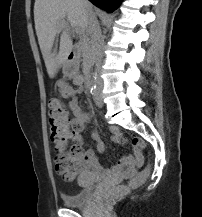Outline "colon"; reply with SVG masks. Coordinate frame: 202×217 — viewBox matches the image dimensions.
Returning <instances> with one entry per match:
<instances>
[{
  "label": "colon",
  "instance_id": "obj_1",
  "mask_svg": "<svg viewBox=\"0 0 202 217\" xmlns=\"http://www.w3.org/2000/svg\"><path fill=\"white\" fill-rule=\"evenodd\" d=\"M48 124L50 139L54 146L56 156V171L64 179L72 180L80 168L78 157L81 154V143L73 139L70 145L67 144V114L62 102L56 97L52 98L48 104ZM132 144L136 149L145 147L144 141L140 138H134ZM150 173L149 168H144L128 185H118L114 187L110 194L104 197L103 201L109 202L126 193L129 188H136L142 185L150 177Z\"/></svg>",
  "mask_w": 202,
  "mask_h": 217
}]
</instances>
